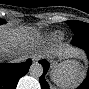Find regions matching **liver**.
<instances>
[{"mask_svg":"<svg viewBox=\"0 0 89 89\" xmlns=\"http://www.w3.org/2000/svg\"><path fill=\"white\" fill-rule=\"evenodd\" d=\"M38 40L39 34L30 27H2L0 30L1 58H18V61L22 60L36 46ZM45 55L50 59H54L57 57L74 56L75 53L59 48L46 51Z\"/></svg>","mask_w":89,"mask_h":89,"instance_id":"obj_1","label":"liver"}]
</instances>
